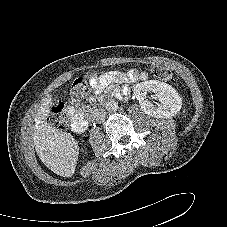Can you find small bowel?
<instances>
[{"mask_svg":"<svg viewBox=\"0 0 227 227\" xmlns=\"http://www.w3.org/2000/svg\"><path fill=\"white\" fill-rule=\"evenodd\" d=\"M146 78L147 74L145 72L139 73L135 70H131L127 73L115 72L100 78H93L91 80V88L94 91H98L109 82H126L131 80H144Z\"/></svg>","mask_w":227,"mask_h":227,"instance_id":"1","label":"small bowel"}]
</instances>
